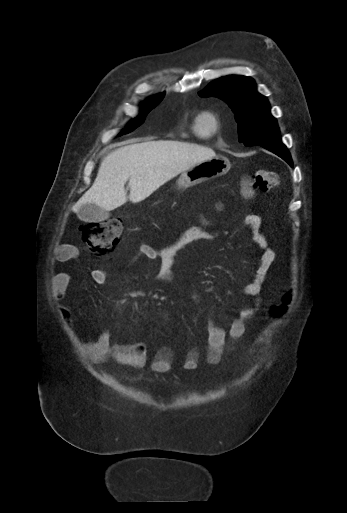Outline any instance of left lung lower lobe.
I'll list each match as a JSON object with an SVG mask.
<instances>
[{
    "mask_svg": "<svg viewBox=\"0 0 347 513\" xmlns=\"http://www.w3.org/2000/svg\"><path fill=\"white\" fill-rule=\"evenodd\" d=\"M262 147L283 158L291 167L293 166L290 153L284 144L278 143L275 145H263Z\"/></svg>",
    "mask_w": 347,
    "mask_h": 513,
    "instance_id": "1",
    "label": "left lung lower lobe"
}]
</instances>
